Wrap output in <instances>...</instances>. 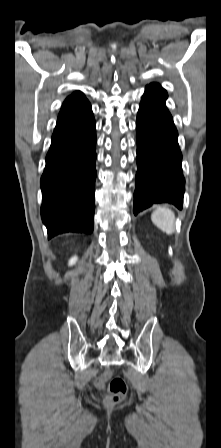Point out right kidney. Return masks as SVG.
I'll return each instance as SVG.
<instances>
[{
    "label": "right kidney",
    "mask_w": 221,
    "mask_h": 448,
    "mask_svg": "<svg viewBox=\"0 0 221 448\" xmlns=\"http://www.w3.org/2000/svg\"><path fill=\"white\" fill-rule=\"evenodd\" d=\"M77 256H73L70 260H69V265L71 266V265H73V264H75L76 263V261H77Z\"/></svg>",
    "instance_id": "1"
}]
</instances>
